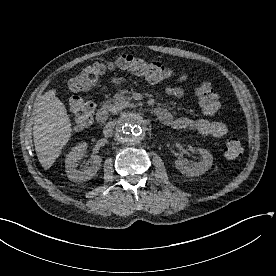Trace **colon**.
Returning <instances> with one entry per match:
<instances>
[{"mask_svg": "<svg viewBox=\"0 0 276 276\" xmlns=\"http://www.w3.org/2000/svg\"><path fill=\"white\" fill-rule=\"evenodd\" d=\"M112 70L127 71L154 83H162L169 79L171 75L170 70L160 62L147 61L132 55H122L112 61L95 62L87 66L80 74L70 80L68 89L73 94L87 91L103 75ZM197 94L205 113L208 115L216 114L220 102L210 83L202 82L197 89ZM94 110V104L89 100L74 97L70 101V113L75 125L79 128L92 123ZM223 151L227 158L234 159L242 154L243 146L237 138H231L227 140Z\"/></svg>", "mask_w": 276, "mask_h": 276, "instance_id": "colon-1", "label": "colon"}]
</instances>
